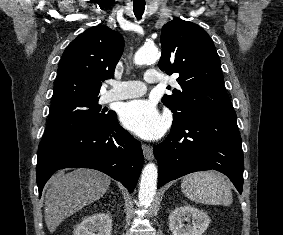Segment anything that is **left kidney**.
Instances as JSON below:
<instances>
[{
    "mask_svg": "<svg viewBox=\"0 0 283 235\" xmlns=\"http://www.w3.org/2000/svg\"><path fill=\"white\" fill-rule=\"evenodd\" d=\"M185 225L184 222H190ZM210 224L209 216L190 205L177 207L169 216V229L173 235H202Z\"/></svg>",
    "mask_w": 283,
    "mask_h": 235,
    "instance_id": "5707ae66",
    "label": "left kidney"
}]
</instances>
